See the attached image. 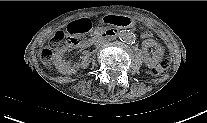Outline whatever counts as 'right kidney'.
I'll return each instance as SVG.
<instances>
[{
  "label": "right kidney",
  "instance_id": "ca27d5eb",
  "mask_svg": "<svg viewBox=\"0 0 207 123\" xmlns=\"http://www.w3.org/2000/svg\"><path fill=\"white\" fill-rule=\"evenodd\" d=\"M66 51L67 49L65 47H61L55 51L53 57L56 69L62 74H69L72 71H75V69H72L71 63L63 59V56Z\"/></svg>",
  "mask_w": 207,
  "mask_h": 123
}]
</instances>
